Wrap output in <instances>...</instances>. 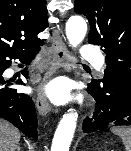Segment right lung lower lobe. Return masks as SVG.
<instances>
[{
	"mask_svg": "<svg viewBox=\"0 0 131 151\" xmlns=\"http://www.w3.org/2000/svg\"><path fill=\"white\" fill-rule=\"evenodd\" d=\"M40 48L10 53L0 56V117L8 120L26 136L37 139V116L32 98L24 93H17L16 89L9 88L10 83L5 81L2 73L11 65V59H19L22 63H29L39 52ZM23 75L27 78V70ZM18 84L24 85L20 80Z\"/></svg>",
	"mask_w": 131,
	"mask_h": 151,
	"instance_id": "right-lung-lower-lobe-1",
	"label": "right lung lower lobe"
}]
</instances>
